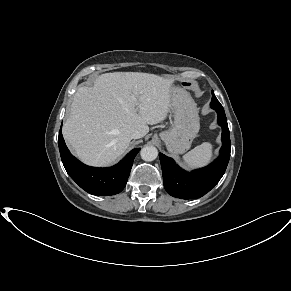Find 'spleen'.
Listing matches in <instances>:
<instances>
[{"label":"spleen","mask_w":291,"mask_h":291,"mask_svg":"<svg viewBox=\"0 0 291 291\" xmlns=\"http://www.w3.org/2000/svg\"><path fill=\"white\" fill-rule=\"evenodd\" d=\"M212 158V144L204 142L183 156L186 165L192 168L202 167Z\"/></svg>","instance_id":"1"}]
</instances>
